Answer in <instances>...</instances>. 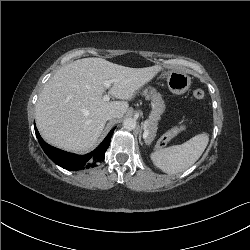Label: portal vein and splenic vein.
<instances>
[{
  "mask_svg": "<svg viewBox=\"0 0 250 250\" xmlns=\"http://www.w3.org/2000/svg\"><path fill=\"white\" fill-rule=\"evenodd\" d=\"M111 83H112L111 80H105V81H104V86H105L106 88H110ZM103 100H104V101H109V100H110L109 95H107V94L104 95V96H103ZM148 122H149V121H148ZM148 122L145 123V136L148 135V130H146V128H148V127H147Z\"/></svg>",
  "mask_w": 250,
  "mask_h": 250,
  "instance_id": "18ae733b",
  "label": "portal vein and splenic vein"
}]
</instances>
